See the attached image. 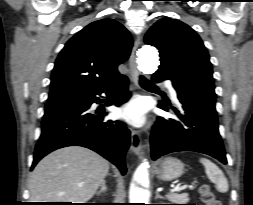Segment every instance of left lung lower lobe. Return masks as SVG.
<instances>
[{
    "label": "left lung lower lobe",
    "mask_w": 253,
    "mask_h": 205,
    "mask_svg": "<svg viewBox=\"0 0 253 205\" xmlns=\"http://www.w3.org/2000/svg\"><path fill=\"white\" fill-rule=\"evenodd\" d=\"M170 79L178 93L181 104L179 109L169 104L160 103L159 108L170 112L176 117H157L152 129V159L178 151H195L210 155L226 164L224 146L218 131L215 100L203 96L189 88L164 68L153 75V81L160 82Z\"/></svg>",
    "instance_id": "obj_1"
}]
</instances>
